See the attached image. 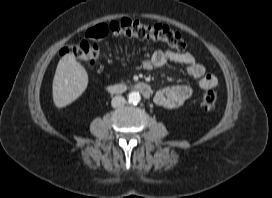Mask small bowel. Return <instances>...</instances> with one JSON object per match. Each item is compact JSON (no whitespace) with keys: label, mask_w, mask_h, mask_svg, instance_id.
I'll list each match as a JSON object with an SVG mask.
<instances>
[{"label":"small bowel","mask_w":272,"mask_h":198,"mask_svg":"<svg viewBox=\"0 0 272 198\" xmlns=\"http://www.w3.org/2000/svg\"><path fill=\"white\" fill-rule=\"evenodd\" d=\"M168 62L180 64L186 72L197 80L201 89H212L218 84L216 76L207 73L205 67L198 63L189 52H175L173 50H158L150 57L142 58L140 65L144 69L161 68ZM192 88L188 85L169 86L160 89L154 96V102L165 109L172 110L183 105L192 96Z\"/></svg>","instance_id":"obj_1"}]
</instances>
